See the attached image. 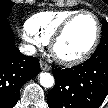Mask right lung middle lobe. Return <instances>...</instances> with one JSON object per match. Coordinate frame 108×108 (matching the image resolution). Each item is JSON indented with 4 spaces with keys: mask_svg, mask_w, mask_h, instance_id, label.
Masks as SVG:
<instances>
[{
    "mask_svg": "<svg viewBox=\"0 0 108 108\" xmlns=\"http://www.w3.org/2000/svg\"><path fill=\"white\" fill-rule=\"evenodd\" d=\"M13 5L10 0H0V20H7Z\"/></svg>",
    "mask_w": 108,
    "mask_h": 108,
    "instance_id": "1",
    "label": "right lung middle lobe"
}]
</instances>
